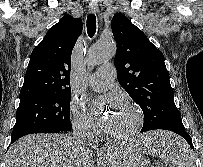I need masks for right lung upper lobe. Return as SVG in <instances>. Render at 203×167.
I'll list each match as a JSON object with an SVG mask.
<instances>
[{"label": "right lung upper lobe", "mask_w": 203, "mask_h": 167, "mask_svg": "<svg viewBox=\"0 0 203 167\" xmlns=\"http://www.w3.org/2000/svg\"><path fill=\"white\" fill-rule=\"evenodd\" d=\"M82 32V21L63 16L32 51L20 101L50 93L71 91V53Z\"/></svg>", "instance_id": "obj_1"}]
</instances>
